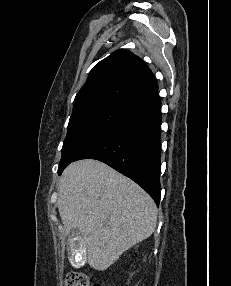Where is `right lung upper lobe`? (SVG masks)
I'll return each instance as SVG.
<instances>
[{"instance_id":"obj_1","label":"right lung upper lobe","mask_w":231,"mask_h":286,"mask_svg":"<svg viewBox=\"0 0 231 286\" xmlns=\"http://www.w3.org/2000/svg\"><path fill=\"white\" fill-rule=\"evenodd\" d=\"M157 88L146 63L131 52L118 49L90 71L74 99L73 112L101 102L134 108Z\"/></svg>"}]
</instances>
